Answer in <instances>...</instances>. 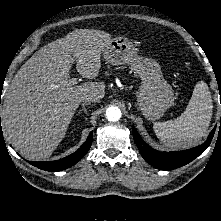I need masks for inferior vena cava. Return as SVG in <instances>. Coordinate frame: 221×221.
Listing matches in <instances>:
<instances>
[{
  "label": "inferior vena cava",
  "mask_w": 221,
  "mask_h": 221,
  "mask_svg": "<svg viewBox=\"0 0 221 221\" xmlns=\"http://www.w3.org/2000/svg\"><path fill=\"white\" fill-rule=\"evenodd\" d=\"M83 104L88 105L89 103L93 102V103H97L99 102L98 100H96L95 98H86L82 100Z\"/></svg>",
  "instance_id": "obj_1"
}]
</instances>
